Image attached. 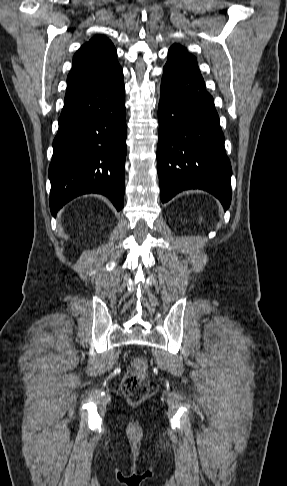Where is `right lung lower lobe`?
<instances>
[{"label":"right lung lower lobe","mask_w":287,"mask_h":486,"mask_svg":"<svg viewBox=\"0 0 287 486\" xmlns=\"http://www.w3.org/2000/svg\"><path fill=\"white\" fill-rule=\"evenodd\" d=\"M58 122L49 167L52 215L86 193L107 196L120 211L127 132L123 76L66 99Z\"/></svg>","instance_id":"obj_1"}]
</instances>
